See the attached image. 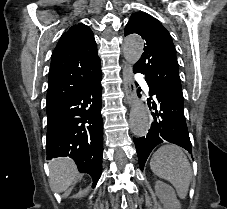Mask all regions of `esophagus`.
Here are the masks:
<instances>
[{
    "mask_svg": "<svg viewBox=\"0 0 227 209\" xmlns=\"http://www.w3.org/2000/svg\"><path fill=\"white\" fill-rule=\"evenodd\" d=\"M123 88L126 94L125 100L130 104V109L134 110L137 107V102H134L137 96L132 79V69L128 63H125L123 67Z\"/></svg>",
    "mask_w": 227,
    "mask_h": 209,
    "instance_id": "esophagus-1",
    "label": "esophagus"
}]
</instances>
